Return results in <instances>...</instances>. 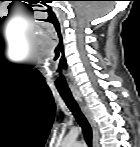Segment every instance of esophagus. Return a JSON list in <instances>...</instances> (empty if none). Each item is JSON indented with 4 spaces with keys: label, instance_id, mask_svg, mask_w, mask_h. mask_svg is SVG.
Masks as SVG:
<instances>
[{
    "label": "esophagus",
    "instance_id": "esophagus-1",
    "mask_svg": "<svg viewBox=\"0 0 140 147\" xmlns=\"http://www.w3.org/2000/svg\"><path fill=\"white\" fill-rule=\"evenodd\" d=\"M74 98L78 102L83 114L87 118V120L92 128L94 147H100V145H99L100 136H99L98 125L94 119V116H93L90 108L88 107L87 103L85 102V100L83 99V97L81 95L75 94Z\"/></svg>",
    "mask_w": 140,
    "mask_h": 147
}]
</instances>
